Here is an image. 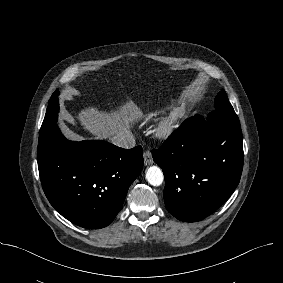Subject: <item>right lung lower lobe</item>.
Listing matches in <instances>:
<instances>
[{
	"instance_id": "right-lung-lower-lobe-1",
	"label": "right lung lower lobe",
	"mask_w": 283,
	"mask_h": 283,
	"mask_svg": "<svg viewBox=\"0 0 283 283\" xmlns=\"http://www.w3.org/2000/svg\"><path fill=\"white\" fill-rule=\"evenodd\" d=\"M37 160L44 193L55 210L78 226L99 229L122 209L143 168V150L99 140L69 141L56 125L38 145Z\"/></svg>"
}]
</instances>
